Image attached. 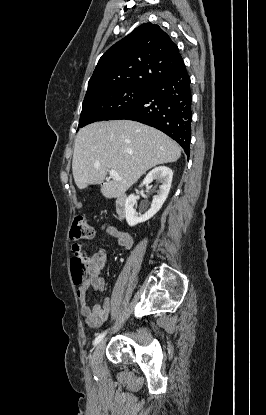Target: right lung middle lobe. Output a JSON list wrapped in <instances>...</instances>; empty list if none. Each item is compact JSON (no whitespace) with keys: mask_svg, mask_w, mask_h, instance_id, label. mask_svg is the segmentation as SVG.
Here are the masks:
<instances>
[{"mask_svg":"<svg viewBox=\"0 0 266 415\" xmlns=\"http://www.w3.org/2000/svg\"><path fill=\"white\" fill-rule=\"evenodd\" d=\"M148 88L118 87L84 98L78 128L102 120H110L117 113L142 100Z\"/></svg>","mask_w":266,"mask_h":415,"instance_id":"right-lung-middle-lobe-1","label":"right lung middle lobe"}]
</instances>
